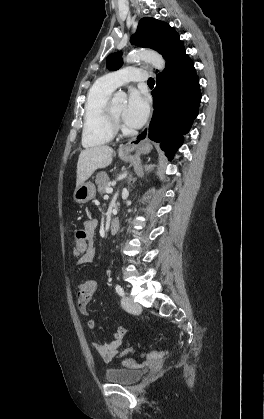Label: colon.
<instances>
[{"label":"colon","instance_id":"1","mask_svg":"<svg viewBox=\"0 0 264 419\" xmlns=\"http://www.w3.org/2000/svg\"><path fill=\"white\" fill-rule=\"evenodd\" d=\"M72 248L75 254L84 255L86 254L89 248V237L87 232L84 229H79L75 232L72 239ZM130 349H126L123 354L128 353ZM166 355L165 351H150L144 353L143 356L149 360H156L164 357Z\"/></svg>","mask_w":264,"mask_h":419}]
</instances>
